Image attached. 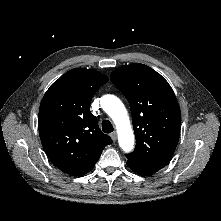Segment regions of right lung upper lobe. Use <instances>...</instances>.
<instances>
[{
    "instance_id": "cb5924a9",
    "label": "right lung upper lobe",
    "mask_w": 221,
    "mask_h": 221,
    "mask_svg": "<svg viewBox=\"0 0 221 221\" xmlns=\"http://www.w3.org/2000/svg\"><path fill=\"white\" fill-rule=\"evenodd\" d=\"M108 77L74 68L45 93L38 116L39 135L51 162L61 171L81 176L89 172L112 139L101 132L89 105Z\"/></svg>"
}]
</instances>
